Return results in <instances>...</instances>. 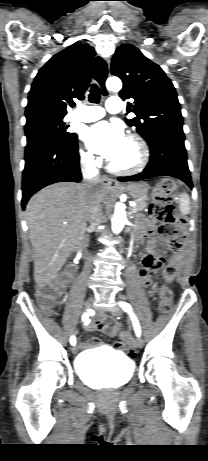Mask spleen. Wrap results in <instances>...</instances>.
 I'll list each match as a JSON object with an SVG mask.
<instances>
[{"instance_id":"1","label":"spleen","mask_w":208,"mask_h":461,"mask_svg":"<svg viewBox=\"0 0 208 461\" xmlns=\"http://www.w3.org/2000/svg\"><path fill=\"white\" fill-rule=\"evenodd\" d=\"M179 202V209L181 214L187 215L190 212V198L188 194L186 193H181L178 198Z\"/></svg>"}]
</instances>
